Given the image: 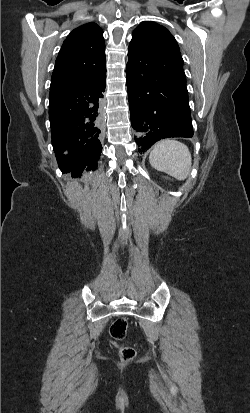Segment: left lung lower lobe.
Segmentation results:
<instances>
[{
    "label": "left lung lower lobe",
    "instance_id": "0a47b994",
    "mask_svg": "<svg viewBox=\"0 0 250 413\" xmlns=\"http://www.w3.org/2000/svg\"><path fill=\"white\" fill-rule=\"evenodd\" d=\"M149 39L129 46L126 66L131 125L139 152L168 137H192L186 77Z\"/></svg>",
    "mask_w": 250,
    "mask_h": 413
}]
</instances>
